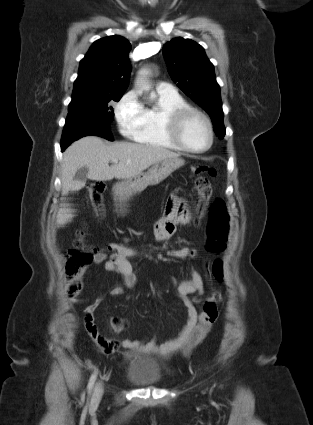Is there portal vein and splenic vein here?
<instances>
[{
  "instance_id": "18ae733b",
  "label": "portal vein and splenic vein",
  "mask_w": 313,
  "mask_h": 425,
  "mask_svg": "<svg viewBox=\"0 0 313 425\" xmlns=\"http://www.w3.org/2000/svg\"><path fill=\"white\" fill-rule=\"evenodd\" d=\"M112 162L115 163V164H117L118 163V160L117 159H112Z\"/></svg>"
}]
</instances>
